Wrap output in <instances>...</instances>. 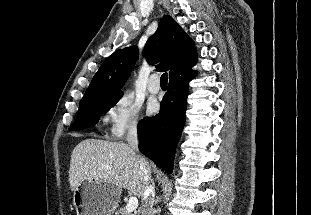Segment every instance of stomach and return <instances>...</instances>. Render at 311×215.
I'll list each match as a JSON object with an SVG mask.
<instances>
[{"instance_id":"obj_1","label":"stomach","mask_w":311,"mask_h":215,"mask_svg":"<svg viewBox=\"0 0 311 215\" xmlns=\"http://www.w3.org/2000/svg\"><path fill=\"white\" fill-rule=\"evenodd\" d=\"M121 190L116 185L101 180H85L73 195L78 215H112Z\"/></svg>"}]
</instances>
